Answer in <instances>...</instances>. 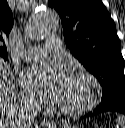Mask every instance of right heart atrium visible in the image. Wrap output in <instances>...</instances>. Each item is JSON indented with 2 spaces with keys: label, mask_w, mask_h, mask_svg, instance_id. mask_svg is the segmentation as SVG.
<instances>
[{
  "label": "right heart atrium",
  "mask_w": 125,
  "mask_h": 128,
  "mask_svg": "<svg viewBox=\"0 0 125 128\" xmlns=\"http://www.w3.org/2000/svg\"><path fill=\"white\" fill-rule=\"evenodd\" d=\"M21 101H22L23 105H25L27 107H33L35 105L34 101L27 97H22Z\"/></svg>",
  "instance_id": "d8ad5b80"
}]
</instances>
